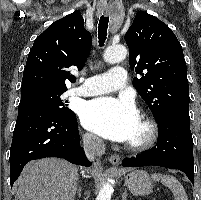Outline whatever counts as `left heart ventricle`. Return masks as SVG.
Segmentation results:
<instances>
[{
	"label": "left heart ventricle",
	"instance_id": "obj_1",
	"mask_svg": "<svg viewBox=\"0 0 201 200\" xmlns=\"http://www.w3.org/2000/svg\"><path fill=\"white\" fill-rule=\"evenodd\" d=\"M145 134H146V128L143 122L140 119H138L134 134L128 142L129 143L138 142L144 138Z\"/></svg>",
	"mask_w": 201,
	"mask_h": 200
}]
</instances>
